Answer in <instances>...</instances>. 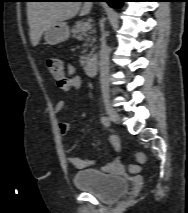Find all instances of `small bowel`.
Instances as JSON below:
<instances>
[{"label": "small bowel", "mask_w": 188, "mask_h": 213, "mask_svg": "<svg viewBox=\"0 0 188 213\" xmlns=\"http://www.w3.org/2000/svg\"><path fill=\"white\" fill-rule=\"evenodd\" d=\"M58 87L64 92H70L74 89H78L82 85V78L80 76L74 75L71 71L68 74H64L61 78H57ZM65 102L60 100L55 105V112L60 113L64 110ZM70 123L67 120H62L58 124V129L61 134L66 135L69 131ZM110 143L116 149V151L120 150V142L117 137L111 136L109 138ZM76 144L68 145L66 147V152L70 153L74 150ZM70 164L77 169H83L89 167L93 164L92 160L81 159L79 157L70 156L69 157ZM122 165L119 157L115 158L111 163L107 164L102 168L105 172H117L121 170Z\"/></svg>", "instance_id": "c3829d8e"}]
</instances>
